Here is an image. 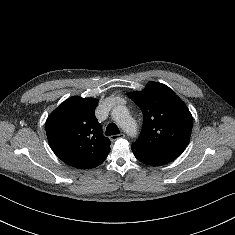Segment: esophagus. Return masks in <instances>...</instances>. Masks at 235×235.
<instances>
[{"label":"esophagus","mask_w":235,"mask_h":235,"mask_svg":"<svg viewBox=\"0 0 235 235\" xmlns=\"http://www.w3.org/2000/svg\"><path fill=\"white\" fill-rule=\"evenodd\" d=\"M124 137H125V134H124V133H120V134H118V135H112V136H110V140H111L112 142H114V141L118 140L119 138H124Z\"/></svg>","instance_id":"esophagus-1"}]
</instances>
